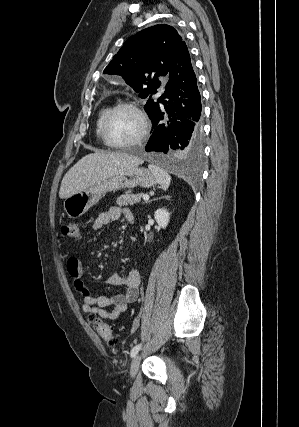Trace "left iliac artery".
<instances>
[{
  "mask_svg": "<svg viewBox=\"0 0 299 427\" xmlns=\"http://www.w3.org/2000/svg\"><path fill=\"white\" fill-rule=\"evenodd\" d=\"M140 349H141V344L136 345V346L131 350V353H130L131 357H134V356L138 353V351H139Z\"/></svg>",
  "mask_w": 299,
  "mask_h": 427,
  "instance_id": "44dca946",
  "label": "left iliac artery"
}]
</instances>
